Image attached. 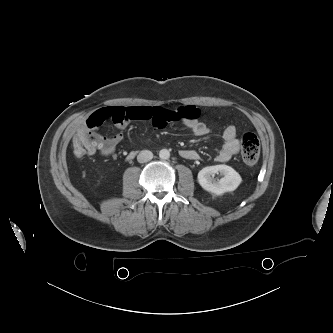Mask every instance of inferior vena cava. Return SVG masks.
<instances>
[{"mask_svg":"<svg viewBox=\"0 0 333 333\" xmlns=\"http://www.w3.org/2000/svg\"><path fill=\"white\" fill-rule=\"evenodd\" d=\"M153 158V153L149 150L141 151L137 156V161L139 163H145L150 161Z\"/></svg>","mask_w":333,"mask_h":333,"instance_id":"1","label":"inferior vena cava"}]
</instances>
